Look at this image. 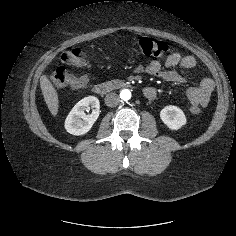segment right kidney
<instances>
[{"mask_svg": "<svg viewBox=\"0 0 236 236\" xmlns=\"http://www.w3.org/2000/svg\"><path fill=\"white\" fill-rule=\"evenodd\" d=\"M92 108V113L87 115L85 111ZM100 113L99 100L94 96H88L80 100L70 111L65 120V129L72 135H83L87 133Z\"/></svg>", "mask_w": 236, "mask_h": 236, "instance_id": "ca27d5eb", "label": "right kidney"}]
</instances>
